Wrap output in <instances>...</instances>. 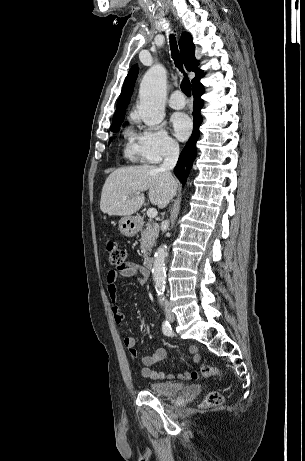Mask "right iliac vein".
Here are the masks:
<instances>
[{
  "label": "right iliac vein",
  "mask_w": 305,
  "mask_h": 461,
  "mask_svg": "<svg viewBox=\"0 0 305 461\" xmlns=\"http://www.w3.org/2000/svg\"><path fill=\"white\" fill-rule=\"evenodd\" d=\"M167 318H168L169 320H171V315H170V314H168V315H167Z\"/></svg>",
  "instance_id": "obj_1"
}]
</instances>
